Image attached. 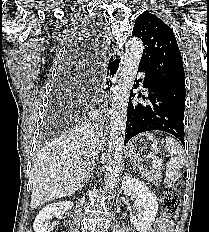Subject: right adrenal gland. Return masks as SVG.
Masks as SVG:
<instances>
[{
  "label": "right adrenal gland",
  "instance_id": "obj_1",
  "mask_svg": "<svg viewBox=\"0 0 209 232\" xmlns=\"http://www.w3.org/2000/svg\"><path fill=\"white\" fill-rule=\"evenodd\" d=\"M91 172H92V171H91ZM91 172L88 173L87 177L85 178V180H84V182H83V185L85 184V181L87 182V181L90 180L91 174H92ZM83 185H82V187H83ZM82 187H81V188H82Z\"/></svg>",
  "mask_w": 209,
  "mask_h": 232
}]
</instances>
